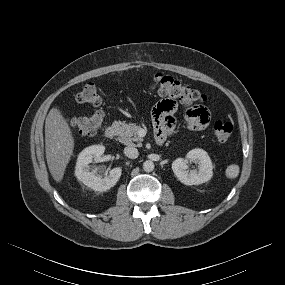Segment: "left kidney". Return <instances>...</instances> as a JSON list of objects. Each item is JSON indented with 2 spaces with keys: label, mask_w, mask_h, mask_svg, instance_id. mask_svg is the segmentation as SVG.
I'll return each mask as SVG.
<instances>
[{
  "label": "left kidney",
  "mask_w": 285,
  "mask_h": 285,
  "mask_svg": "<svg viewBox=\"0 0 285 285\" xmlns=\"http://www.w3.org/2000/svg\"><path fill=\"white\" fill-rule=\"evenodd\" d=\"M187 160L198 163L197 171H188ZM172 170L178 180L185 185H199L209 181L213 176V165L206 151L200 148L190 150L186 159L177 158L172 163Z\"/></svg>",
  "instance_id": "left-kidney-1"
}]
</instances>
